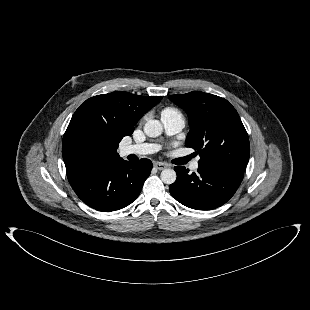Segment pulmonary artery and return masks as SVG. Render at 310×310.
Listing matches in <instances>:
<instances>
[{"label":"pulmonary artery","mask_w":310,"mask_h":310,"mask_svg":"<svg viewBox=\"0 0 310 310\" xmlns=\"http://www.w3.org/2000/svg\"><path fill=\"white\" fill-rule=\"evenodd\" d=\"M161 121L164 126L165 132L168 135H175L180 132L185 126V120L181 114H165L161 115ZM159 146L151 143L125 145L120 149V154L122 156H127L131 154L135 155H147L158 151ZM199 168V159L193 161L190 164V169L192 171H197Z\"/></svg>","instance_id":"1"}]
</instances>
